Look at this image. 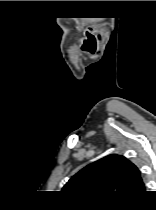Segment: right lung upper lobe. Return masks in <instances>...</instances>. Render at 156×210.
<instances>
[{
  "instance_id": "cb5924a9",
  "label": "right lung upper lobe",
  "mask_w": 156,
  "mask_h": 210,
  "mask_svg": "<svg viewBox=\"0 0 156 210\" xmlns=\"http://www.w3.org/2000/svg\"><path fill=\"white\" fill-rule=\"evenodd\" d=\"M62 191L98 203H121L145 193L139 169L122 155L112 154L75 174Z\"/></svg>"
}]
</instances>
